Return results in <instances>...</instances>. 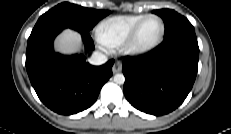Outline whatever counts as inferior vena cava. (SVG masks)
<instances>
[{
  "label": "inferior vena cava",
  "mask_w": 231,
  "mask_h": 134,
  "mask_svg": "<svg viewBox=\"0 0 231 134\" xmlns=\"http://www.w3.org/2000/svg\"><path fill=\"white\" fill-rule=\"evenodd\" d=\"M107 56L101 52H94L89 59V63L92 65H102L107 62Z\"/></svg>",
  "instance_id": "602c4592"
}]
</instances>
